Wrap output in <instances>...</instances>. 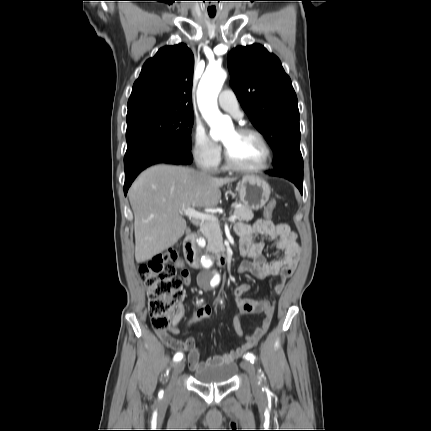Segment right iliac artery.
<instances>
[{
    "instance_id": "82829eb1",
    "label": "right iliac artery",
    "mask_w": 431,
    "mask_h": 431,
    "mask_svg": "<svg viewBox=\"0 0 431 431\" xmlns=\"http://www.w3.org/2000/svg\"><path fill=\"white\" fill-rule=\"evenodd\" d=\"M183 358V354L182 353H176L174 356V361H180Z\"/></svg>"
}]
</instances>
